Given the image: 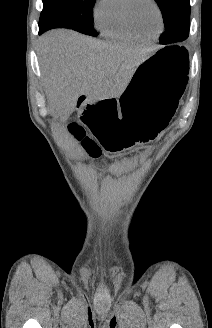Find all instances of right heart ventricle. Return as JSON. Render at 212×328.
<instances>
[{"instance_id": "1", "label": "right heart ventricle", "mask_w": 212, "mask_h": 328, "mask_svg": "<svg viewBox=\"0 0 212 328\" xmlns=\"http://www.w3.org/2000/svg\"><path fill=\"white\" fill-rule=\"evenodd\" d=\"M128 0H100L95 10V25L100 33L111 40L138 43L151 40L142 37L130 26L126 7Z\"/></svg>"}]
</instances>
